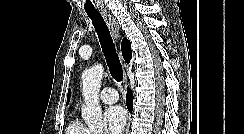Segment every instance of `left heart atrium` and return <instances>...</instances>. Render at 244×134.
Listing matches in <instances>:
<instances>
[{"label": "left heart atrium", "instance_id": "obj_1", "mask_svg": "<svg viewBox=\"0 0 244 134\" xmlns=\"http://www.w3.org/2000/svg\"><path fill=\"white\" fill-rule=\"evenodd\" d=\"M109 134H121L127 121V114L121 106H111L104 113Z\"/></svg>", "mask_w": 244, "mask_h": 134}]
</instances>
